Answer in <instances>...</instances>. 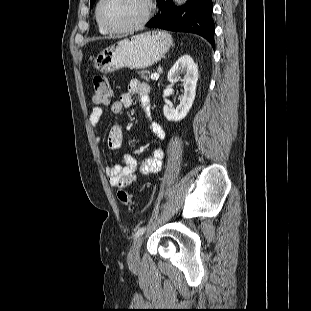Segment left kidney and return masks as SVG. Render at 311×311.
Returning a JSON list of instances; mask_svg holds the SVG:
<instances>
[{"label":"left kidney","instance_id":"1","mask_svg":"<svg viewBox=\"0 0 311 311\" xmlns=\"http://www.w3.org/2000/svg\"><path fill=\"white\" fill-rule=\"evenodd\" d=\"M185 74L181 79L184 86V95L182 101L176 107L164 105L163 113L169 121H180L186 117L196 95V86L198 81V68L190 55L181 56L168 72V81L176 83L180 80V75Z\"/></svg>","mask_w":311,"mask_h":311}]
</instances>
